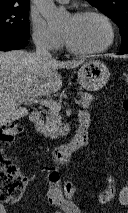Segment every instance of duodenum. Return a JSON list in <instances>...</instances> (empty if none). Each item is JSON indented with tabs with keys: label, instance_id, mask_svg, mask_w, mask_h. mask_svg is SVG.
<instances>
[{
	"label": "duodenum",
	"instance_id": "obj_1",
	"mask_svg": "<svg viewBox=\"0 0 128 213\" xmlns=\"http://www.w3.org/2000/svg\"><path fill=\"white\" fill-rule=\"evenodd\" d=\"M42 119V113L39 111H34L30 115L32 125L38 130L42 127ZM89 122V118L79 117V128L73 139L69 143L60 145L53 150V159L55 162L59 164L66 162L75 151L86 144Z\"/></svg>",
	"mask_w": 128,
	"mask_h": 213
}]
</instances>
